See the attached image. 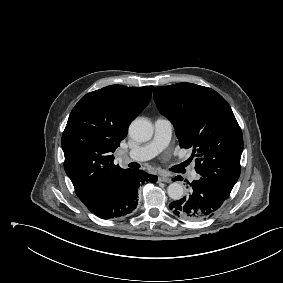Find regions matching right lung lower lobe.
Segmentation results:
<instances>
[{"instance_id":"1","label":"right lung lower lobe","mask_w":283,"mask_h":283,"mask_svg":"<svg viewBox=\"0 0 283 283\" xmlns=\"http://www.w3.org/2000/svg\"><path fill=\"white\" fill-rule=\"evenodd\" d=\"M157 176L141 170H129L123 180L106 194L86 205L101 218H118L131 213L138 203V187L144 181H157Z\"/></svg>"}]
</instances>
